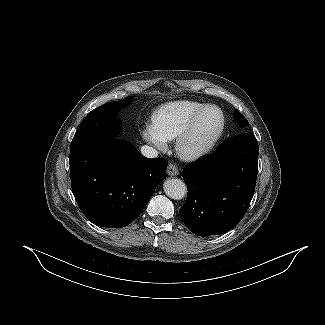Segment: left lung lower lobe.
<instances>
[{
  "label": "left lung lower lobe",
  "instance_id": "left-lung-lower-lobe-1",
  "mask_svg": "<svg viewBox=\"0 0 325 325\" xmlns=\"http://www.w3.org/2000/svg\"><path fill=\"white\" fill-rule=\"evenodd\" d=\"M258 152L253 133H243L187 166V199L179 214L191 232L219 235L241 221L255 190Z\"/></svg>",
  "mask_w": 325,
  "mask_h": 325
}]
</instances>
